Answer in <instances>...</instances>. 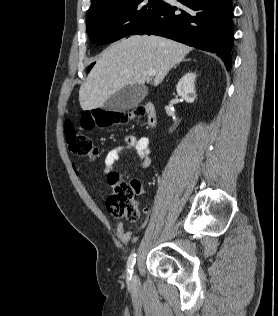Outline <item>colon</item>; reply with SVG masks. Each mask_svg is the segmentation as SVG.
<instances>
[{"mask_svg": "<svg viewBox=\"0 0 278 316\" xmlns=\"http://www.w3.org/2000/svg\"><path fill=\"white\" fill-rule=\"evenodd\" d=\"M142 109L133 112H105L94 110L82 115L81 127L90 130L94 127L107 128L126 124L129 120L143 115ZM65 139L68 149L80 156L95 158L99 150L94 146L90 137L78 132L71 120L64 122ZM108 182L112 192L107 199L109 212L116 217H124L130 222L138 221L142 213L139 209L136 195L140 190V183L137 180L131 182L122 181L119 175L111 173Z\"/></svg>", "mask_w": 278, "mask_h": 316, "instance_id": "colon-1", "label": "colon"}]
</instances>
